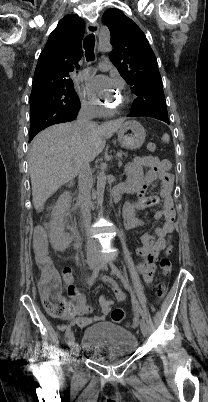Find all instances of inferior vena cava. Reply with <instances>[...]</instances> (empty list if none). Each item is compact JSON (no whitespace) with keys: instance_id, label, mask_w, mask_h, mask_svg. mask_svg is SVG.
I'll list each match as a JSON object with an SVG mask.
<instances>
[{"instance_id":"obj_1","label":"inferior vena cava","mask_w":208,"mask_h":402,"mask_svg":"<svg viewBox=\"0 0 208 402\" xmlns=\"http://www.w3.org/2000/svg\"><path fill=\"white\" fill-rule=\"evenodd\" d=\"M93 108L92 104H82L81 110L78 114V118L75 122L78 128H88L92 126L93 122H90L93 118ZM78 168H79V194H78V204L80 206L83 226L86 230L87 236V246H96L95 240L90 236V226H91V190L93 188V178L92 172L89 164L84 154L78 156Z\"/></svg>"}]
</instances>
